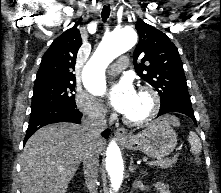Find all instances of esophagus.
<instances>
[{
    "instance_id": "esophagus-1",
    "label": "esophagus",
    "mask_w": 221,
    "mask_h": 193,
    "mask_svg": "<svg viewBox=\"0 0 221 193\" xmlns=\"http://www.w3.org/2000/svg\"><path fill=\"white\" fill-rule=\"evenodd\" d=\"M112 0H105L106 4H110ZM115 136L120 139H124L127 137V130L124 128H119L115 131Z\"/></svg>"
}]
</instances>
